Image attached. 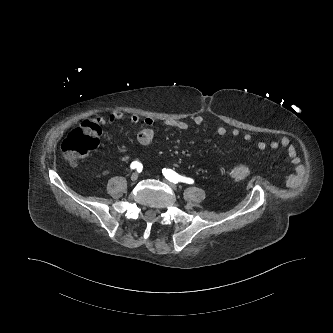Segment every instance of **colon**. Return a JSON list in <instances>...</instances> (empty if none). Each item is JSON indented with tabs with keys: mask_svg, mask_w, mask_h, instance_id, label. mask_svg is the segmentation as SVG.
<instances>
[{
	"mask_svg": "<svg viewBox=\"0 0 333 333\" xmlns=\"http://www.w3.org/2000/svg\"><path fill=\"white\" fill-rule=\"evenodd\" d=\"M104 124V119L100 117L87 119L67 136L61 149L65 160L70 165H76L80 158L97 147ZM249 174V168L242 164L235 165L230 171L232 178L237 181L245 180Z\"/></svg>",
	"mask_w": 333,
	"mask_h": 333,
	"instance_id": "colon-1",
	"label": "colon"
}]
</instances>
